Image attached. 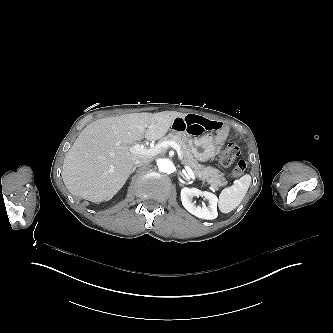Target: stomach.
<instances>
[{
  "mask_svg": "<svg viewBox=\"0 0 333 333\" xmlns=\"http://www.w3.org/2000/svg\"><path fill=\"white\" fill-rule=\"evenodd\" d=\"M191 142V153L200 162L214 158L222 147L221 143L216 141L213 131H207L200 136L192 137Z\"/></svg>",
  "mask_w": 333,
  "mask_h": 333,
  "instance_id": "0dacf381",
  "label": "stomach"
}]
</instances>
